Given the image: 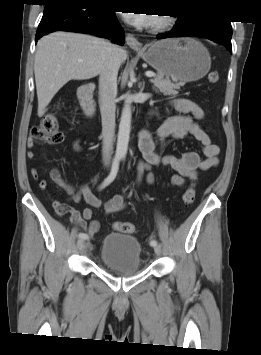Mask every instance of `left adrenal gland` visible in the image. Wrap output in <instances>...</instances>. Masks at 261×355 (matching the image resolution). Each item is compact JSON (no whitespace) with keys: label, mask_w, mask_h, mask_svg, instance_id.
<instances>
[{"label":"left adrenal gland","mask_w":261,"mask_h":355,"mask_svg":"<svg viewBox=\"0 0 261 355\" xmlns=\"http://www.w3.org/2000/svg\"><path fill=\"white\" fill-rule=\"evenodd\" d=\"M144 84H145V83L143 82V87H142V89H144Z\"/></svg>","instance_id":"1"}]
</instances>
